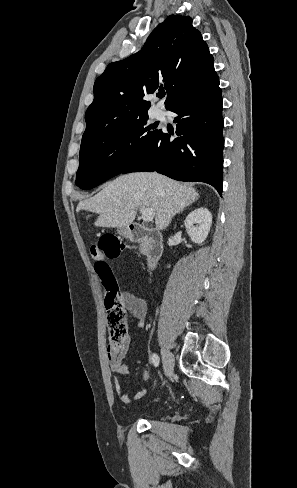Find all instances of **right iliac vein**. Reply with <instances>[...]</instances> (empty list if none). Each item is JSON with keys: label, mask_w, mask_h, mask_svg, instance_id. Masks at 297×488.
<instances>
[{"label": "right iliac vein", "mask_w": 297, "mask_h": 488, "mask_svg": "<svg viewBox=\"0 0 297 488\" xmlns=\"http://www.w3.org/2000/svg\"><path fill=\"white\" fill-rule=\"evenodd\" d=\"M164 374L169 376L173 372L174 357L171 351L166 348L161 349Z\"/></svg>", "instance_id": "right-iliac-vein-1"}]
</instances>
